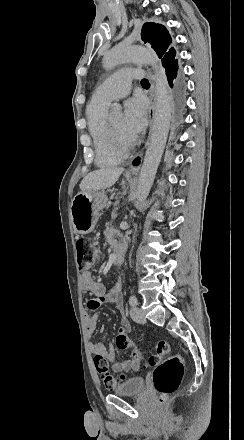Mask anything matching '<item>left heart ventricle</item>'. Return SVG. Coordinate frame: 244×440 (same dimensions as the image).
Returning a JSON list of instances; mask_svg holds the SVG:
<instances>
[{"label":"left heart ventricle","instance_id":"left-heart-ventricle-1","mask_svg":"<svg viewBox=\"0 0 244 440\" xmlns=\"http://www.w3.org/2000/svg\"><path fill=\"white\" fill-rule=\"evenodd\" d=\"M108 121L112 127L113 130L117 132H124V118L121 114V112L118 113H111L108 115Z\"/></svg>","mask_w":244,"mask_h":440}]
</instances>
